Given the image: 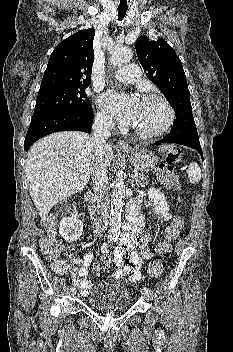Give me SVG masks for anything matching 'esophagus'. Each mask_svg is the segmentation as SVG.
<instances>
[{"mask_svg":"<svg viewBox=\"0 0 233 352\" xmlns=\"http://www.w3.org/2000/svg\"><path fill=\"white\" fill-rule=\"evenodd\" d=\"M116 146L120 149H128L129 145L127 142L123 141V140H119L116 144Z\"/></svg>","mask_w":233,"mask_h":352,"instance_id":"34e87169","label":"esophagus"}]
</instances>
